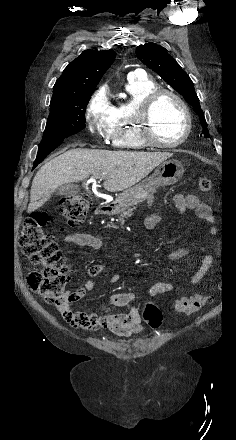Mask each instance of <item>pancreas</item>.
I'll return each instance as SVG.
<instances>
[{"label":"pancreas","mask_w":236,"mask_h":440,"mask_svg":"<svg viewBox=\"0 0 236 440\" xmlns=\"http://www.w3.org/2000/svg\"><path fill=\"white\" fill-rule=\"evenodd\" d=\"M153 200H154V197H150V198L148 199V205H149V206L152 205ZM134 209H136V208H131V209H128L127 211L121 213V214H120V217H119V221H120L121 223H124V221H125L124 219H125V218H127V217H131V216L133 215V210H134Z\"/></svg>","instance_id":"pancreas-1"}]
</instances>
